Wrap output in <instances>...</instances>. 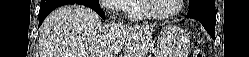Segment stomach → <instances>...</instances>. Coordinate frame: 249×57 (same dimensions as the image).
Segmentation results:
<instances>
[{
  "mask_svg": "<svg viewBox=\"0 0 249 57\" xmlns=\"http://www.w3.org/2000/svg\"><path fill=\"white\" fill-rule=\"evenodd\" d=\"M155 57H188L190 39L188 34L179 27H163L158 36Z\"/></svg>",
  "mask_w": 249,
  "mask_h": 57,
  "instance_id": "0dacf381",
  "label": "stomach"
}]
</instances>
